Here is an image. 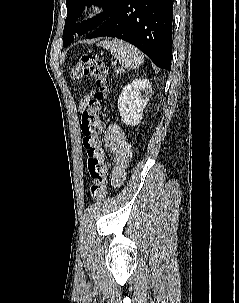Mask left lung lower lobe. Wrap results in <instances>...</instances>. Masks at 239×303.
Returning a JSON list of instances; mask_svg holds the SVG:
<instances>
[{
	"label": "left lung lower lobe",
	"instance_id": "obj_1",
	"mask_svg": "<svg viewBox=\"0 0 239 303\" xmlns=\"http://www.w3.org/2000/svg\"><path fill=\"white\" fill-rule=\"evenodd\" d=\"M172 0H122L87 38L117 37L143 51L155 65L171 70Z\"/></svg>",
	"mask_w": 239,
	"mask_h": 303
}]
</instances>
